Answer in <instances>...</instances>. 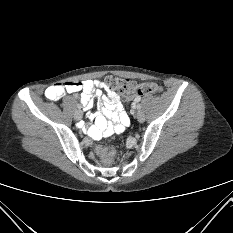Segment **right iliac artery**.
<instances>
[{
    "instance_id": "right-iliac-artery-1",
    "label": "right iliac artery",
    "mask_w": 233,
    "mask_h": 233,
    "mask_svg": "<svg viewBox=\"0 0 233 233\" xmlns=\"http://www.w3.org/2000/svg\"><path fill=\"white\" fill-rule=\"evenodd\" d=\"M79 109H81V105L80 104H78V106H77Z\"/></svg>"
}]
</instances>
